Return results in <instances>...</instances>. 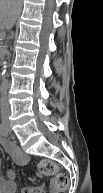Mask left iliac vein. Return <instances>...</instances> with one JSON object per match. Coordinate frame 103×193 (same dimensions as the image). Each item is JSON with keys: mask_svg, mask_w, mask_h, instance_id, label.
Returning a JSON list of instances; mask_svg holds the SVG:
<instances>
[{"mask_svg": "<svg viewBox=\"0 0 103 193\" xmlns=\"http://www.w3.org/2000/svg\"><path fill=\"white\" fill-rule=\"evenodd\" d=\"M6 128H7L8 132H11V128L9 126V123L6 124Z\"/></svg>", "mask_w": 103, "mask_h": 193, "instance_id": "4c4485c4", "label": "left iliac vein"}]
</instances>
